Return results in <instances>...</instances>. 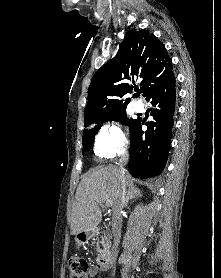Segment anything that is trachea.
I'll return each mask as SVG.
<instances>
[{
  "instance_id": "obj_1",
  "label": "trachea",
  "mask_w": 221,
  "mask_h": 278,
  "mask_svg": "<svg viewBox=\"0 0 221 278\" xmlns=\"http://www.w3.org/2000/svg\"><path fill=\"white\" fill-rule=\"evenodd\" d=\"M141 91H137V93L135 94L136 97H138L140 95Z\"/></svg>"
}]
</instances>
